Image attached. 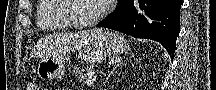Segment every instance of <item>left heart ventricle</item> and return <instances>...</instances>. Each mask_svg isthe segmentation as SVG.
<instances>
[{
	"label": "left heart ventricle",
	"mask_w": 216,
	"mask_h": 90,
	"mask_svg": "<svg viewBox=\"0 0 216 90\" xmlns=\"http://www.w3.org/2000/svg\"><path fill=\"white\" fill-rule=\"evenodd\" d=\"M69 6H74L71 13L78 20H90L94 18L101 8V1L94 0H70Z\"/></svg>",
	"instance_id": "obj_1"
}]
</instances>
